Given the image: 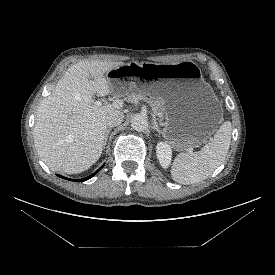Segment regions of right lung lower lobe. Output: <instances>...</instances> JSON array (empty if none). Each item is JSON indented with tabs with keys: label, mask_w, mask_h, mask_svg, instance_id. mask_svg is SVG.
I'll use <instances>...</instances> for the list:
<instances>
[{
	"label": "right lung lower lobe",
	"mask_w": 275,
	"mask_h": 275,
	"mask_svg": "<svg viewBox=\"0 0 275 275\" xmlns=\"http://www.w3.org/2000/svg\"><path fill=\"white\" fill-rule=\"evenodd\" d=\"M103 167V166H102ZM102 167H100L95 173L91 174L90 176L86 177V178H83V179H77L75 181H79V182H83V181H86L88 179H90L91 177H93ZM59 177H62L60 175H58ZM62 178H65V177H62ZM65 179H68V178H65ZM70 180V179H68ZM72 180V179H71Z\"/></svg>",
	"instance_id": "98d812e1"
}]
</instances>
